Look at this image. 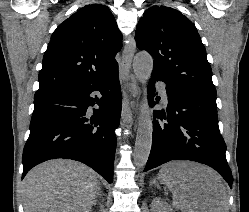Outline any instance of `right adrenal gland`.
<instances>
[{
    "mask_svg": "<svg viewBox=\"0 0 249 212\" xmlns=\"http://www.w3.org/2000/svg\"><path fill=\"white\" fill-rule=\"evenodd\" d=\"M98 196H101V192H98ZM97 202H98V200H94L93 206H96Z\"/></svg>",
    "mask_w": 249,
    "mask_h": 212,
    "instance_id": "2a0ac1e0",
    "label": "right adrenal gland"
}]
</instances>
